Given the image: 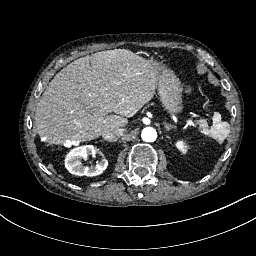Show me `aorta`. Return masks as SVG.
I'll return each mask as SVG.
<instances>
[{
	"instance_id": "1",
	"label": "aorta",
	"mask_w": 256,
	"mask_h": 256,
	"mask_svg": "<svg viewBox=\"0 0 256 256\" xmlns=\"http://www.w3.org/2000/svg\"><path fill=\"white\" fill-rule=\"evenodd\" d=\"M141 138L145 142H154L157 139V132L152 127L144 128L141 133Z\"/></svg>"
}]
</instances>
